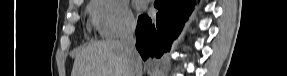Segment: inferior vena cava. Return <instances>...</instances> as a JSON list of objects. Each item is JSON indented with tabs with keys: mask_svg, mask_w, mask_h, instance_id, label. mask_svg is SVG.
Wrapping results in <instances>:
<instances>
[{
	"mask_svg": "<svg viewBox=\"0 0 287 76\" xmlns=\"http://www.w3.org/2000/svg\"><path fill=\"white\" fill-rule=\"evenodd\" d=\"M135 29V22L128 23L121 34L120 42L129 63V76H142L141 58L136 49Z\"/></svg>",
	"mask_w": 287,
	"mask_h": 76,
	"instance_id": "1",
	"label": "inferior vena cava"
}]
</instances>
